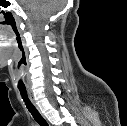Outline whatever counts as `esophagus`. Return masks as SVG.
I'll return each instance as SVG.
<instances>
[{"label":"esophagus","instance_id":"obj_1","mask_svg":"<svg viewBox=\"0 0 127 126\" xmlns=\"http://www.w3.org/2000/svg\"><path fill=\"white\" fill-rule=\"evenodd\" d=\"M28 94H29V97H30L32 103L34 104V106L39 110V108H38V106L36 104V101L34 99L33 93L31 91H28Z\"/></svg>","mask_w":127,"mask_h":126}]
</instances>
